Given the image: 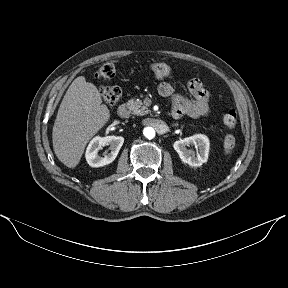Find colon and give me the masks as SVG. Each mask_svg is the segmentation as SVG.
I'll return each instance as SVG.
<instances>
[{"instance_id":"1","label":"colon","mask_w":288,"mask_h":288,"mask_svg":"<svg viewBox=\"0 0 288 288\" xmlns=\"http://www.w3.org/2000/svg\"><path fill=\"white\" fill-rule=\"evenodd\" d=\"M151 71L158 79L167 78L171 74V68L163 62L152 63ZM116 68L112 63L103 64L97 71L96 76L100 79H110L115 75ZM102 98L109 105L118 103L121 97V89L118 86H102L100 89ZM225 127L232 130L237 125V115L234 110H229L223 117ZM235 146V139L232 135H227L223 141V150L225 154H230Z\"/></svg>"}]
</instances>
